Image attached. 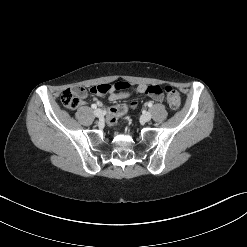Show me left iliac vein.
<instances>
[{
	"label": "left iliac vein",
	"instance_id": "left-iliac-vein-1",
	"mask_svg": "<svg viewBox=\"0 0 247 247\" xmlns=\"http://www.w3.org/2000/svg\"><path fill=\"white\" fill-rule=\"evenodd\" d=\"M151 118H152V115H151L150 112H145V113L142 115V119H143V121H145V122L150 121Z\"/></svg>",
	"mask_w": 247,
	"mask_h": 247
}]
</instances>
